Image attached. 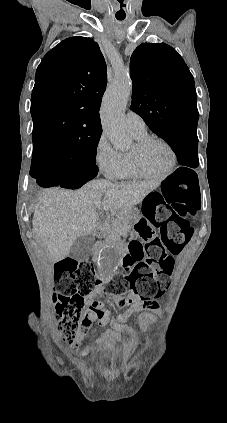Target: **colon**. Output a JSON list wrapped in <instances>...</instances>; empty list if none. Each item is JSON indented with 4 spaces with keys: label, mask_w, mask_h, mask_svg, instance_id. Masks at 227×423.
Wrapping results in <instances>:
<instances>
[{
    "label": "colon",
    "mask_w": 227,
    "mask_h": 423,
    "mask_svg": "<svg viewBox=\"0 0 227 423\" xmlns=\"http://www.w3.org/2000/svg\"><path fill=\"white\" fill-rule=\"evenodd\" d=\"M201 209V194L193 172L177 170L165 179L160 188L148 196L144 205L146 222L137 224V233L147 241L127 242L121 258L123 271L112 280L96 278L89 261L65 258L55 269L54 302L58 314V330L72 342L78 319L85 308L84 298L96 286L113 296L137 295L143 301L161 297L168 289L174 268L172 255L182 251L193 234L192 223ZM153 227L161 239L152 238Z\"/></svg>",
    "instance_id": "5ec220e1"
}]
</instances>
